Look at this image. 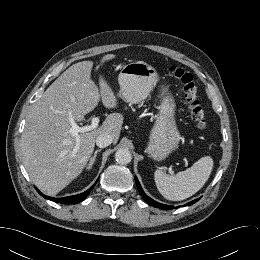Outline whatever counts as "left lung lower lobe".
Returning <instances> with one entry per match:
<instances>
[{
    "label": "left lung lower lobe",
    "mask_w": 260,
    "mask_h": 260,
    "mask_svg": "<svg viewBox=\"0 0 260 260\" xmlns=\"http://www.w3.org/2000/svg\"><path fill=\"white\" fill-rule=\"evenodd\" d=\"M135 181H136V185H137V188H138V191L140 192V194L142 195L143 199L150 205L154 206V207H158L160 209H165V210H168V209H172V206H169V205H164V204H160L154 200H152L151 198H149L145 193L144 191L142 190L140 184H139V181L138 179L135 177ZM199 199H196V200H193L189 203H187L186 205L187 206H190L192 204H194L195 202H197Z\"/></svg>",
    "instance_id": "obj_1"
}]
</instances>
